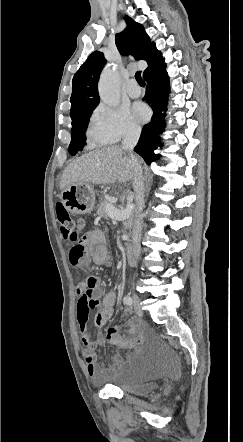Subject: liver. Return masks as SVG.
Instances as JSON below:
<instances>
[{"instance_id":"6515ba94","label":"liver","mask_w":243,"mask_h":442,"mask_svg":"<svg viewBox=\"0 0 243 442\" xmlns=\"http://www.w3.org/2000/svg\"><path fill=\"white\" fill-rule=\"evenodd\" d=\"M134 164L129 154L117 145L83 154L65 169L60 189L72 184L107 185L133 179Z\"/></svg>"}]
</instances>
